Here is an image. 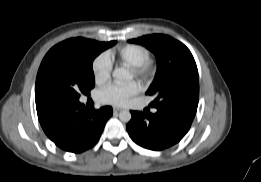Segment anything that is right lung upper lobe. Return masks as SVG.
I'll return each mask as SVG.
<instances>
[{
    "label": "right lung upper lobe",
    "instance_id": "cb5924a9",
    "mask_svg": "<svg viewBox=\"0 0 261 182\" xmlns=\"http://www.w3.org/2000/svg\"><path fill=\"white\" fill-rule=\"evenodd\" d=\"M85 38H81V37H78V38H71V39H68V40H65V41H68V42H78V41H81ZM50 105H47V104H44V103H41L40 101L36 100V109H37V113H40L42 112L43 110L49 108Z\"/></svg>",
    "mask_w": 261,
    "mask_h": 182
}]
</instances>
